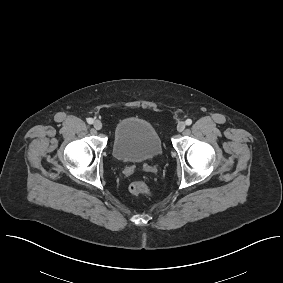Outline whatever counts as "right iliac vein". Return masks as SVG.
Instances as JSON below:
<instances>
[{"label":"right iliac vein","mask_w":283,"mask_h":283,"mask_svg":"<svg viewBox=\"0 0 283 283\" xmlns=\"http://www.w3.org/2000/svg\"><path fill=\"white\" fill-rule=\"evenodd\" d=\"M93 126L96 130L102 129V123L99 120H95Z\"/></svg>","instance_id":"right-iliac-vein-1"}]
</instances>
